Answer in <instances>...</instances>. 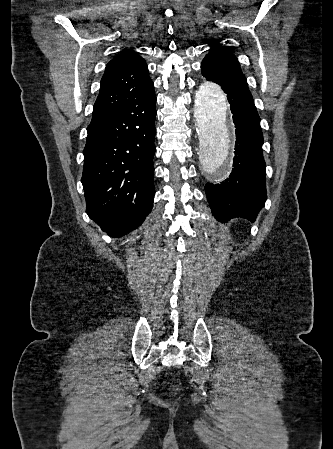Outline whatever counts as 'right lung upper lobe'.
Here are the masks:
<instances>
[{"label": "right lung upper lobe", "mask_w": 333, "mask_h": 449, "mask_svg": "<svg viewBox=\"0 0 333 449\" xmlns=\"http://www.w3.org/2000/svg\"><path fill=\"white\" fill-rule=\"evenodd\" d=\"M100 84L92 119L112 113L153 87L145 60L132 49L107 64Z\"/></svg>", "instance_id": "1"}]
</instances>
